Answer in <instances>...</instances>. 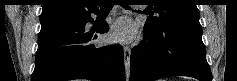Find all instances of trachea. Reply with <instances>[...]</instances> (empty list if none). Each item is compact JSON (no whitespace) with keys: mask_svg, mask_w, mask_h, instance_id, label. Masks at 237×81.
<instances>
[{"mask_svg":"<svg viewBox=\"0 0 237 81\" xmlns=\"http://www.w3.org/2000/svg\"><path fill=\"white\" fill-rule=\"evenodd\" d=\"M115 2L113 1H103L101 2V5H100V9L101 10H107V9H110L113 5H114ZM124 7H128L127 4H120Z\"/></svg>","mask_w":237,"mask_h":81,"instance_id":"1","label":"trachea"}]
</instances>
